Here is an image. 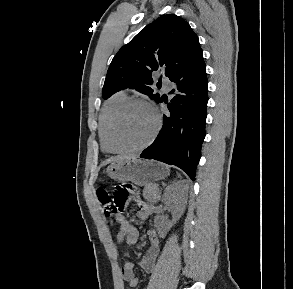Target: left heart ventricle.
<instances>
[{
    "label": "left heart ventricle",
    "instance_id": "b2bd125f",
    "mask_svg": "<svg viewBox=\"0 0 293 289\" xmlns=\"http://www.w3.org/2000/svg\"><path fill=\"white\" fill-rule=\"evenodd\" d=\"M154 127L155 117L151 109L136 104L128 108L116 122L114 140L120 147H137L150 137Z\"/></svg>",
    "mask_w": 293,
    "mask_h": 289
}]
</instances>
